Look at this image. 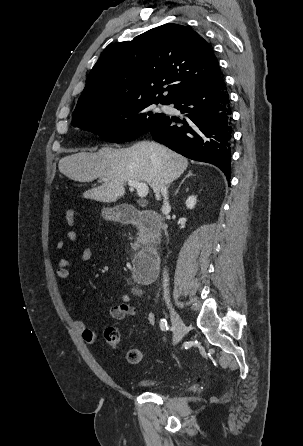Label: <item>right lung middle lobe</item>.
<instances>
[{"label":"right lung middle lobe","instance_id":"dd1d6c3e","mask_svg":"<svg viewBox=\"0 0 303 446\" xmlns=\"http://www.w3.org/2000/svg\"><path fill=\"white\" fill-rule=\"evenodd\" d=\"M150 100H138L125 104L106 105L73 115L72 125L99 135L108 142L134 140L147 133L164 114L148 110Z\"/></svg>","mask_w":303,"mask_h":446}]
</instances>
